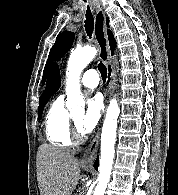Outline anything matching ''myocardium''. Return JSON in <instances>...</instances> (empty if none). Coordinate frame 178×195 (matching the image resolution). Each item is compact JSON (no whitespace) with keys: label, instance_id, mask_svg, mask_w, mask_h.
I'll use <instances>...</instances> for the list:
<instances>
[{"label":"myocardium","instance_id":"myocardium-1","mask_svg":"<svg viewBox=\"0 0 178 195\" xmlns=\"http://www.w3.org/2000/svg\"><path fill=\"white\" fill-rule=\"evenodd\" d=\"M70 123H71V139L75 143L82 142L85 139V137L83 133L80 131L79 127L77 126L73 118H70Z\"/></svg>","mask_w":178,"mask_h":195}]
</instances>
